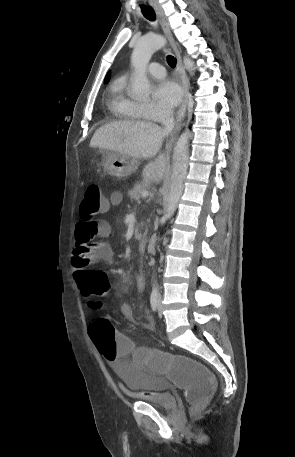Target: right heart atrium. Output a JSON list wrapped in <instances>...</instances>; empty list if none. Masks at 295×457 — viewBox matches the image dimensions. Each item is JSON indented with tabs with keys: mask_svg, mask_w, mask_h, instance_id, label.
I'll return each instance as SVG.
<instances>
[{
	"mask_svg": "<svg viewBox=\"0 0 295 457\" xmlns=\"http://www.w3.org/2000/svg\"><path fill=\"white\" fill-rule=\"evenodd\" d=\"M139 110L143 118L160 120L167 117L170 111L153 103L139 104Z\"/></svg>",
	"mask_w": 295,
	"mask_h": 457,
	"instance_id": "right-heart-atrium-1",
	"label": "right heart atrium"
}]
</instances>
